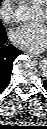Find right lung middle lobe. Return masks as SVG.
<instances>
[{"label":"right lung middle lobe","instance_id":"1","mask_svg":"<svg viewBox=\"0 0 47 129\" xmlns=\"http://www.w3.org/2000/svg\"><path fill=\"white\" fill-rule=\"evenodd\" d=\"M2 0H0L1 2ZM5 33V29H4V26L0 23V35L4 34Z\"/></svg>","mask_w":47,"mask_h":129}]
</instances>
